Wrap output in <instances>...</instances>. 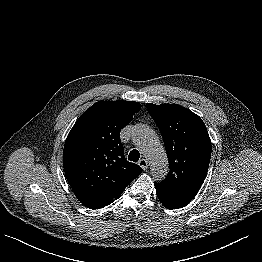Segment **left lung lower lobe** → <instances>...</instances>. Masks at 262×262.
Here are the masks:
<instances>
[{
	"mask_svg": "<svg viewBox=\"0 0 262 262\" xmlns=\"http://www.w3.org/2000/svg\"><path fill=\"white\" fill-rule=\"evenodd\" d=\"M156 194L161 201V203L168 209H179L187 205L189 202H186L185 200L174 198L171 196H168L158 190H156Z\"/></svg>",
	"mask_w": 262,
	"mask_h": 262,
	"instance_id": "obj_1",
	"label": "left lung lower lobe"
}]
</instances>
